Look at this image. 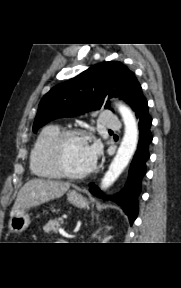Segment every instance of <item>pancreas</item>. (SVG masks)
Here are the masks:
<instances>
[{
    "label": "pancreas",
    "mask_w": 181,
    "mask_h": 288,
    "mask_svg": "<svg viewBox=\"0 0 181 288\" xmlns=\"http://www.w3.org/2000/svg\"><path fill=\"white\" fill-rule=\"evenodd\" d=\"M61 224H63V219L56 218V219L48 221L43 227V230L46 233H57V229Z\"/></svg>",
    "instance_id": "cf45deb5"
}]
</instances>
